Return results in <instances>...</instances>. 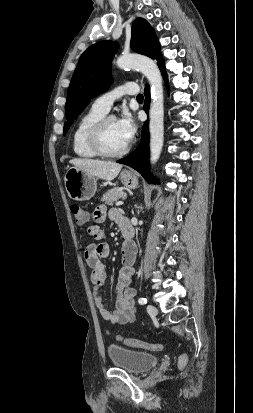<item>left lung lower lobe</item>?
<instances>
[{"label": "left lung lower lobe", "mask_w": 253, "mask_h": 413, "mask_svg": "<svg viewBox=\"0 0 253 413\" xmlns=\"http://www.w3.org/2000/svg\"><path fill=\"white\" fill-rule=\"evenodd\" d=\"M159 69L166 79V85L168 87V79L166 70L164 67V61L159 65ZM144 94L146 96L144 103V110L146 113L149 111L150 104V91L149 86L146 85ZM118 163L128 165L135 170H137L149 183H153V178L149 175L150 164H149V131H148V121H146L142 128V137L140 144L133 153L117 161ZM156 183L157 180H154Z\"/></svg>", "instance_id": "left-lung-lower-lobe-1"}]
</instances>
